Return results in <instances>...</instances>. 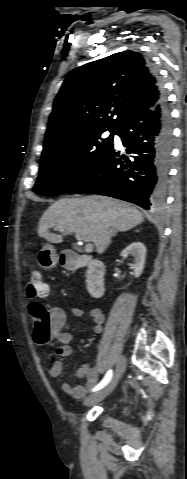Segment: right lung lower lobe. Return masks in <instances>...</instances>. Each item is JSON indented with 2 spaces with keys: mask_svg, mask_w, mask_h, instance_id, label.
Returning <instances> with one entry per match:
<instances>
[{
  "mask_svg": "<svg viewBox=\"0 0 187 479\" xmlns=\"http://www.w3.org/2000/svg\"><path fill=\"white\" fill-rule=\"evenodd\" d=\"M161 99L152 108L138 110L117 129L126 152L113 147L72 188L70 193H97L158 209L165 200L172 147V123L168 101L157 73Z\"/></svg>",
  "mask_w": 187,
  "mask_h": 479,
  "instance_id": "98d812e1",
  "label": "right lung lower lobe"
}]
</instances>
